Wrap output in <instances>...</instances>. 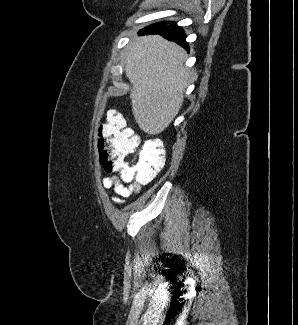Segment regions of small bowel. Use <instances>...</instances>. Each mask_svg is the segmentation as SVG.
<instances>
[{
    "mask_svg": "<svg viewBox=\"0 0 298 325\" xmlns=\"http://www.w3.org/2000/svg\"><path fill=\"white\" fill-rule=\"evenodd\" d=\"M102 184L105 188L114 190L115 195L112 196V201L117 204H122L125 198L140 192V185H123L115 177H104Z\"/></svg>",
    "mask_w": 298,
    "mask_h": 325,
    "instance_id": "small-bowel-1",
    "label": "small bowel"
}]
</instances>
